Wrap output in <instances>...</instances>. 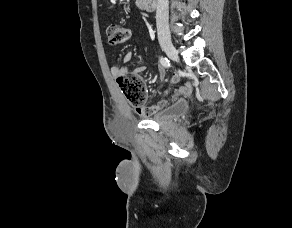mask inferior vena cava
Wrapping results in <instances>:
<instances>
[{
  "instance_id": "obj_1",
  "label": "inferior vena cava",
  "mask_w": 292,
  "mask_h": 228,
  "mask_svg": "<svg viewBox=\"0 0 292 228\" xmlns=\"http://www.w3.org/2000/svg\"><path fill=\"white\" fill-rule=\"evenodd\" d=\"M156 25L159 41L170 39L168 26V0H157Z\"/></svg>"
}]
</instances>
